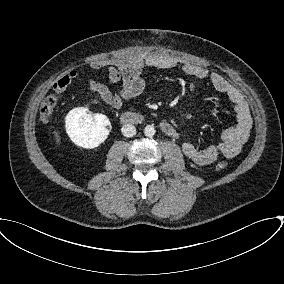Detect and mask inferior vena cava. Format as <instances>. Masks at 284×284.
Listing matches in <instances>:
<instances>
[{"label": "inferior vena cava", "mask_w": 284, "mask_h": 284, "mask_svg": "<svg viewBox=\"0 0 284 284\" xmlns=\"http://www.w3.org/2000/svg\"><path fill=\"white\" fill-rule=\"evenodd\" d=\"M121 132L125 137H133L136 134V128L132 124L122 126Z\"/></svg>", "instance_id": "1"}]
</instances>
